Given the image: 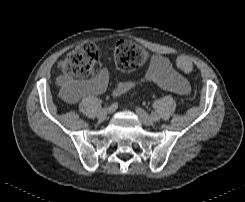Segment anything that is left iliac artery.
<instances>
[{
  "instance_id": "obj_1",
  "label": "left iliac artery",
  "mask_w": 245,
  "mask_h": 202,
  "mask_svg": "<svg viewBox=\"0 0 245 202\" xmlns=\"http://www.w3.org/2000/svg\"><path fill=\"white\" fill-rule=\"evenodd\" d=\"M154 119L157 120V116L156 115H153Z\"/></svg>"
}]
</instances>
